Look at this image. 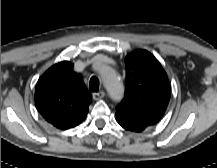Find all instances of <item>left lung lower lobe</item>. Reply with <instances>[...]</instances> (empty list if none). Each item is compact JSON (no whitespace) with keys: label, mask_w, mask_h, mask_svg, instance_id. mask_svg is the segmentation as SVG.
<instances>
[{"label":"left lung lower lobe","mask_w":217,"mask_h":168,"mask_svg":"<svg viewBox=\"0 0 217 168\" xmlns=\"http://www.w3.org/2000/svg\"><path fill=\"white\" fill-rule=\"evenodd\" d=\"M123 128H125V129H127V130H130V131H135V130H133V128L132 127H130V126H125V125H121ZM136 132V131H135Z\"/></svg>","instance_id":"obj_1"}]
</instances>
